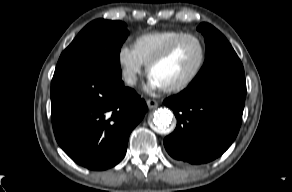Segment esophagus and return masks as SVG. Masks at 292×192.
<instances>
[{
  "label": "esophagus",
  "mask_w": 292,
  "mask_h": 192,
  "mask_svg": "<svg viewBox=\"0 0 292 192\" xmlns=\"http://www.w3.org/2000/svg\"><path fill=\"white\" fill-rule=\"evenodd\" d=\"M147 106L150 109H155L158 107V101L154 100V99H147L146 100Z\"/></svg>",
  "instance_id": "obj_1"
}]
</instances>
